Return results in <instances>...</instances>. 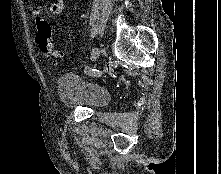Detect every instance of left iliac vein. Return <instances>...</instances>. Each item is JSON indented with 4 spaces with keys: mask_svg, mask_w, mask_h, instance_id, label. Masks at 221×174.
<instances>
[{
    "mask_svg": "<svg viewBox=\"0 0 221 174\" xmlns=\"http://www.w3.org/2000/svg\"><path fill=\"white\" fill-rule=\"evenodd\" d=\"M99 53H100V50L98 47H93L92 50H91V56H90V59L92 61H96L97 58L99 57Z\"/></svg>",
    "mask_w": 221,
    "mask_h": 174,
    "instance_id": "1",
    "label": "left iliac vein"
}]
</instances>
